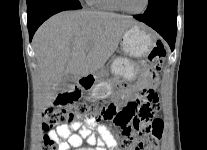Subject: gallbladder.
<instances>
[{
    "label": "gallbladder",
    "mask_w": 207,
    "mask_h": 150,
    "mask_svg": "<svg viewBox=\"0 0 207 150\" xmlns=\"http://www.w3.org/2000/svg\"><path fill=\"white\" fill-rule=\"evenodd\" d=\"M75 81L76 78L72 74L65 75L62 82L60 83L59 91L70 89L72 85L75 83Z\"/></svg>",
    "instance_id": "gallbladder-1"
}]
</instances>
